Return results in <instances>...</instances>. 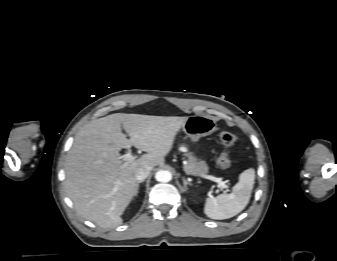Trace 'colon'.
<instances>
[{"instance_id":"colon-1","label":"colon","mask_w":337,"mask_h":261,"mask_svg":"<svg viewBox=\"0 0 337 261\" xmlns=\"http://www.w3.org/2000/svg\"><path fill=\"white\" fill-rule=\"evenodd\" d=\"M219 141L224 147V150L217 158V165L221 170H227L231 166V158L228 149L236 143V136L229 131H221Z\"/></svg>"}]
</instances>
